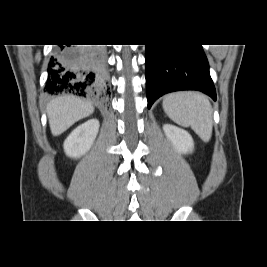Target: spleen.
Returning <instances> with one entry per match:
<instances>
[{"label": "spleen", "mask_w": 267, "mask_h": 267, "mask_svg": "<svg viewBox=\"0 0 267 267\" xmlns=\"http://www.w3.org/2000/svg\"><path fill=\"white\" fill-rule=\"evenodd\" d=\"M165 113L175 123L190 126L196 134L208 142L212 135V107L208 98L199 92H178L164 97Z\"/></svg>", "instance_id": "obj_1"}]
</instances>
